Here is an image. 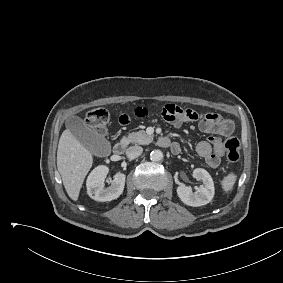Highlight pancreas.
Returning <instances> with one entry per match:
<instances>
[{"instance_id": "1", "label": "pancreas", "mask_w": 283, "mask_h": 283, "mask_svg": "<svg viewBox=\"0 0 283 283\" xmlns=\"http://www.w3.org/2000/svg\"><path fill=\"white\" fill-rule=\"evenodd\" d=\"M153 136L147 135L145 131L141 130L138 132L129 133L128 136H124L121 139V144L128 145L129 143H136L140 145H146L151 143Z\"/></svg>"}]
</instances>
